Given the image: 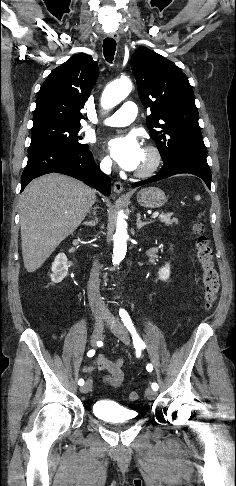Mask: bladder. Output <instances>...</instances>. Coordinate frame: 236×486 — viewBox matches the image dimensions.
I'll return each mask as SVG.
<instances>
[{
	"instance_id": "31cf9c89",
	"label": "bladder",
	"mask_w": 236,
	"mask_h": 486,
	"mask_svg": "<svg viewBox=\"0 0 236 486\" xmlns=\"http://www.w3.org/2000/svg\"><path fill=\"white\" fill-rule=\"evenodd\" d=\"M92 411L94 416L98 419L114 424L129 423L136 420L138 417L136 411L121 406L116 402L107 400H99L95 402Z\"/></svg>"
}]
</instances>
